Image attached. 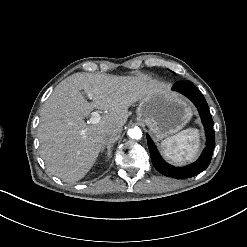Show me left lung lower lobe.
Returning a JSON list of instances; mask_svg holds the SVG:
<instances>
[{"mask_svg":"<svg viewBox=\"0 0 247 247\" xmlns=\"http://www.w3.org/2000/svg\"><path fill=\"white\" fill-rule=\"evenodd\" d=\"M172 89L182 93L196 105L206 131V147L196 162L185 167H174L166 163L160 156L151 138L147 135L148 147L152 163L158 172L173 178H190L201 173L210 164L212 153L215 147V132L213 130L214 123L204 96L192 82H177L173 85Z\"/></svg>","mask_w":247,"mask_h":247,"instance_id":"obj_1","label":"left lung lower lobe"}]
</instances>
